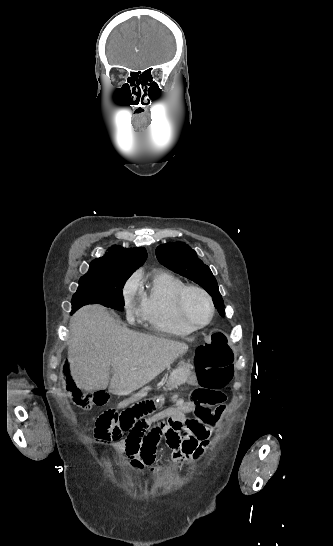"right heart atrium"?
<instances>
[{"instance_id": "obj_1", "label": "right heart atrium", "mask_w": 333, "mask_h": 546, "mask_svg": "<svg viewBox=\"0 0 333 546\" xmlns=\"http://www.w3.org/2000/svg\"><path fill=\"white\" fill-rule=\"evenodd\" d=\"M137 289V277H131L125 284L123 289L124 308L128 319H133L136 316L135 294Z\"/></svg>"}]
</instances>
